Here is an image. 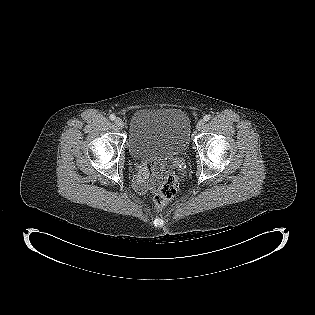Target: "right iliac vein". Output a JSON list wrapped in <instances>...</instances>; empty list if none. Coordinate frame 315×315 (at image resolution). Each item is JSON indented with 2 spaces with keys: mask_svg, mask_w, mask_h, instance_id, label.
Wrapping results in <instances>:
<instances>
[{
  "mask_svg": "<svg viewBox=\"0 0 315 315\" xmlns=\"http://www.w3.org/2000/svg\"><path fill=\"white\" fill-rule=\"evenodd\" d=\"M115 125L117 128L122 129V128H124L125 124H124V121L122 119L116 118Z\"/></svg>",
  "mask_w": 315,
  "mask_h": 315,
  "instance_id": "right-iliac-vein-1",
  "label": "right iliac vein"
}]
</instances>
